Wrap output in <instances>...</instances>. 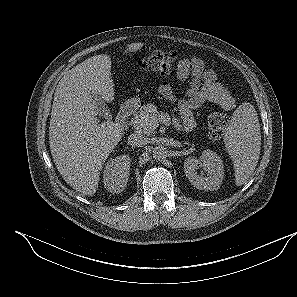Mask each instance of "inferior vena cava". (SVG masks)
I'll return each instance as SVG.
<instances>
[{"instance_id": "1", "label": "inferior vena cava", "mask_w": 297, "mask_h": 297, "mask_svg": "<svg viewBox=\"0 0 297 297\" xmlns=\"http://www.w3.org/2000/svg\"><path fill=\"white\" fill-rule=\"evenodd\" d=\"M148 143V138L142 134L135 133L128 137V144L133 147H143Z\"/></svg>"}]
</instances>
